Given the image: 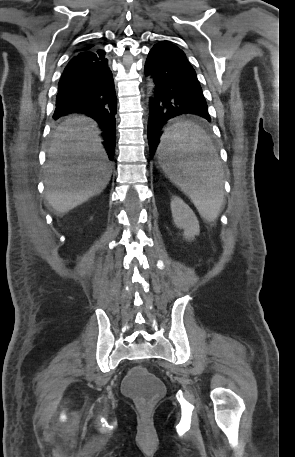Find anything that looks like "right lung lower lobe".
Returning <instances> with one entry per match:
<instances>
[{"label":"right lung lower lobe","mask_w":295,"mask_h":457,"mask_svg":"<svg viewBox=\"0 0 295 457\" xmlns=\"http://www.w3.org/2000/svg\"><path fill=\"white\" fill-rule=\"evenodd\" d=\"M104 50H83L67 64L59 81L54 119L72 112L98 122L110 160L115 151L116 94Z\"/></svg>","instance_id":"98d812e1"}]
</instances>
